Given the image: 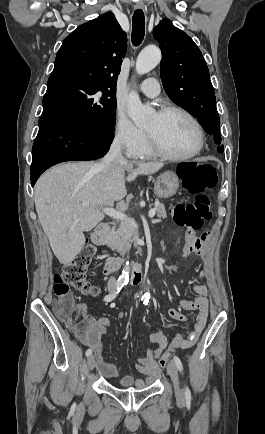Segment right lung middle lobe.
<instances>
[{"label":"right lung middle lobe","mask_w":265,"mask_h":434,"mask_svg":"<svg viewBox=\"0 0 265 434\" xmlns=\"http://www.w3.org/2000/svg\"><path fill=\"white\" fill-rule=\"evenodd\" d=\"M115 92V84L90 76H56L48 80L43 108H58L86 126L113 132Z\"/></svg>","instance_id":"1"}]
</instances>
